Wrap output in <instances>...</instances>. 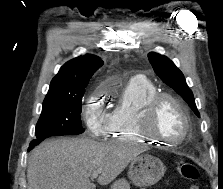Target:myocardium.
I'll return each mask as SVG.
<instances>
[{
	"label": "myocardium",
	"instance_id": "obj_1",
	"mask_svg": "<svg viewBox=\"0 0 223 189\" xmlns=\"http://www.w3.org/2000/svg\"><path fill=\"white\" fill-rule=\"evenodd\" d=\"M169 100L172 102L181 112L184 119V133L181 138L175 141H169L159 135H157L153 130V124L156 112L161 102ZM137 127L139 132L148 140L156 141L165 144L168 147H176L183 143L190 135L192 129L191 117L188 110L183 105L180 99L172 94L165 92H157L152 97H150L142 106L141 110L137 114Z\"/></svg>",
	"mask_w": 223,
	"mask_h": 189
}]
</instances>
